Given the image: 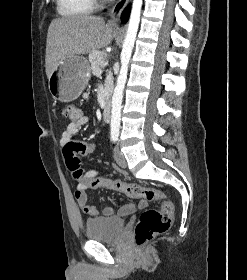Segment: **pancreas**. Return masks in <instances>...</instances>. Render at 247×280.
<instances>
[{
  "mask_svg": "<svg viewBox=\"0 0 247 280\" xmlns=\"http://www.w3.org/2000/svg\"><path fill=\"white\" fill-rule=\"evenodd\" d=\"M89 62L93 73L99 74L101 72V68H103L102 63H106V55L103 51L95 50L89 54ZM110 80L111 75L108 76L106 85Z\"/></svg>",
  "mask_w": 247,
  "mask_h": 280,
  "instance_id": "1",
  "label": "pancreas"
}]
</instances>
